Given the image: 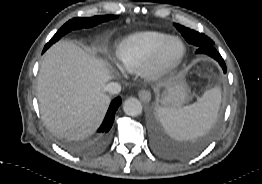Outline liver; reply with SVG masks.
Masks as SVG:
<instances>
[{
	"instance_id": "1",
	"label": "liver",
	"mask_w": 262,
	"mask_h": 184,
	"mask_svg": "<svg viewBox=\"0 0 262 184\" xmlns=\"http://www.w3.org/2000/svg\"><path fill=\"white\" fill-rule=\"evenodd\" d=\"M112 78L106 64L69 41L54 44L42 60L37 97L46 127L61 138L78 140L100 125L110 103Z\"/></svg>"
}]
</instances>
